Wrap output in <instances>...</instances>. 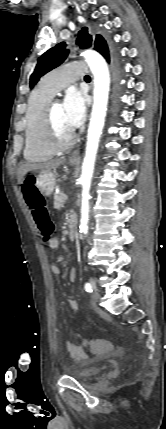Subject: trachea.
<instances>
[{
    "label": "trachea",
    "mask_w": 166,
    "mask_h": 429,
    "mask_svg": "<svg viewBox=\"0 0 166 429\" xmlns=\"http://www.w3.org/2000/svg\"><path fill=\"white\" fill-rule=\"evenodd\" d=\"M85 79H90V76H89V75H86V76H85Z\"/></svg>",
    "instance_id": "3493384b"
}]
</instances>
